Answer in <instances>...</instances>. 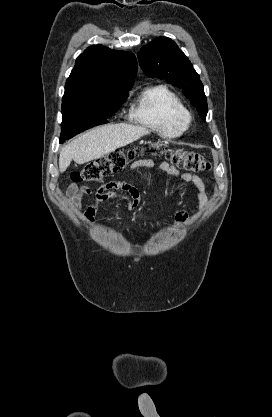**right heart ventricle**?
<instances>
[{
    "instance_id": "1",
    "label": "right heart ventricle",
    "mask_w": 272,
    "mask_h": 417,
    "mask_svg": "<svg viewBox=\"0 0 272 417\" xmlns=\"http://www.w3.org/2000/svg\"><path fill=\"white\" fill-rule=\"evenodd\" d=\"M187 109L181 98L163 84L146 87L131 109L130 118L166 138L181 136Z\"/></svg>"
}]
</instances>
